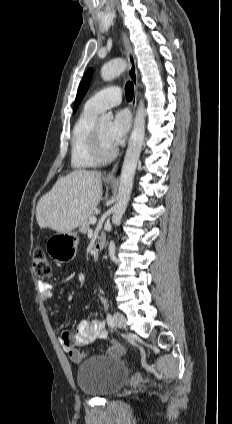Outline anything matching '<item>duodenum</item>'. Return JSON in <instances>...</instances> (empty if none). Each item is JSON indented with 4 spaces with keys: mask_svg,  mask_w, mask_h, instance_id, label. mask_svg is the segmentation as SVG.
<instances>
[{
    "mask_svg": "<svg viewBox=\"0 0 232 424\" xmlns=\"http://www.w3.org/2000/svg\"><path fill=\"white\" fill-rule=\"evenodd\" d=\"M104 245H105V236L100 235L97 238L96 243H95V248H94L95 257H94V259L97 258L98 254L103 249Z\"/></svg>",
    "mask_w": 232,
    "mask_h": 424,
    "instance_id": "duodenum-1",
    "label": "duodenum"
}]
</instances>
